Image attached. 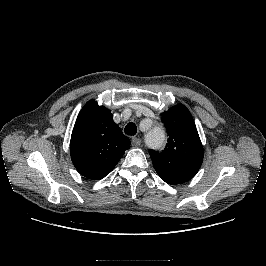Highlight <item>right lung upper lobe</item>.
Returning <instances> with one entry per match:
<instances>
[{
  "label": "right lung upper lobe",
  "instance_id": "1",
  "mask_svg": "<svg viewBox=\"0 0 266 266\" xmlns=\"http://www.w3.org/2000/svg\"><path fill=\"white\" fill-rule=\"evenodd\" d=\"M130 140L113 121L111 111L88 101L75 122L71 141V159L78 172L92 180L104 178L119 162Z\"/></svg>",
  "mask_w": 266,
  "mask_h": 266
}]
</instances>
